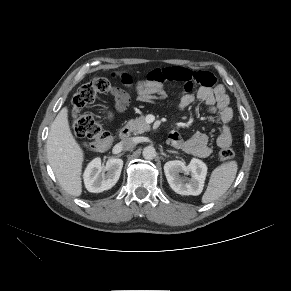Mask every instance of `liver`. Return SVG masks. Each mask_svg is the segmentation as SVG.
<instances>
[{"label": "liver", "instance_id": "1", "mask_svg": "<svg viewBox=\"0 0 291 291\" xmlns=\"http://www.w3.org/2000/svg\"><path fill=\"white\" fill-rule=\"evenodd\" d=\"M46 148L48 161L61 187L72 196H80L84 153L72 135L67 107L60 110L51 124Z\"/></svg>", "mask_w": 291, "mask_h": 291}]
</instances>
